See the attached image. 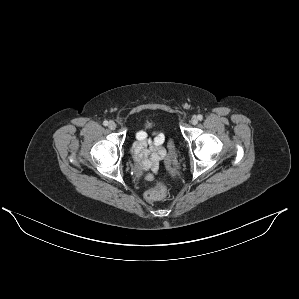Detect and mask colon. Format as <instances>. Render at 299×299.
<instances>
[{
  "mask_svg": "<svg viewBox=\"0 0 299 299\" xmlns=\"http://www.w3.org/2000/svg\"><path fill=\"white\" fill-rule=\"evenodd\" d=\"M167 189L162 182L157 183L152 189L145 192V199L148 202L158 201L165 197Z\"/></svg>",
  "mask_w": 299,
  "mask_h": 299,
  "instance_id": "5ec220e1",
  "label": "colon"
}]
</instances>
